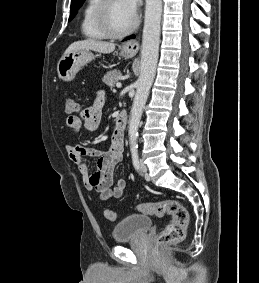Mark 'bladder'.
Here are the masks:
<instances>
[{
  "mask_svg": "<svg viewBox=\"0 0 259 283\" xmlns=\"http://www.w3.org/2000/svg\"><path fill=\"white\" fill-rule=\"evenodd\" d=\"M152 226L150 217L141 214H132L116 224L112 230L115 242H121L138 237L147 232Z\"/></svg>",
  "mask_w": 259,
  "mask_h": 283,
  "instance_id": "31cf9c89",
  "label": "bladder"
}]
</instances>
